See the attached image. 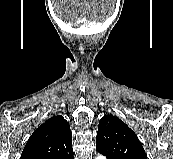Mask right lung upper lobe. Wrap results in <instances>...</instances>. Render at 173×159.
I'll return each mask as SVG.
<instances>
[{"label":"right lung upper lobe","instance_id":"1","mask_svg":"<svg viewBox=\"0 0 173 159\" xmlns=\"http://www.w3.org/2000/svg\"><path fill=\"white\" fill-rule=\"evenodd\" d=\"M71 144L69 123L61 115L53 116L33 132L20 159H68Z\"/></svg>","mask_w":173,"mask_h":159}]
</instances>
